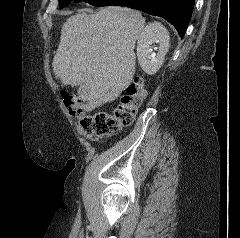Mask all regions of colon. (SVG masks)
<instances>
[{"instance_id": "colon-1", "label": "colon", "mask_w": 240, "mask_h": 238, "mask_svg": "<svg viewBox=\"0 0 240 238\" xmlns=\"http://www.w3.org/2000/svg\"><path fill=\"white\" fill-rule=\"evenodd\" d=\"M147 93L141 77H135L121 95L117 107L111 113L85 111L83 101L74 94L63 92L65 106L79 119V129L89 138L110 136L129 126Z\"/></svg>"}]
</instances>
